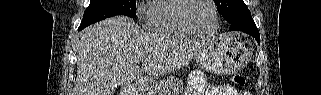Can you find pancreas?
I'll use <instances>...</instances> for the list:
<instances>
[{
	"label": "pancreas",
	"instance_id": "1",
	"mask_svg": "<svg viewBox=\"0 0 321 95\" xmlns=\"http://www.w3.org/2000/svg\"><path fill=\"white\" fill-rule=\"evenodd\" d=\"M183 89V81L174 76L168 77L166 80L159 81L149 86V95H175Z\"/></svg>",
	"mask_w": 321,
	"mask_h": 95
}]
</instances>
